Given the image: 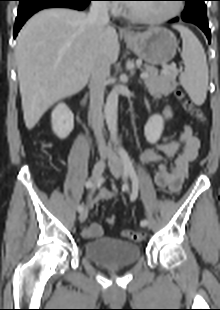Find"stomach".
<instances>
[{
    "label": "stomach",
    "instance_id": "1",
    "mask_svg": "<svg viewBox=\"0 0 220 310\" xmlns=\"http://www.w3.org/2000/svg\"><path fill=\"white\" fill-rule=\"evenodd\" d=\"M125 41L140 59L151 66L171 61L178 48L175 35L162 27H153L143 33L125 36Z\"/></svg>",
    "mask_w": 220,
    "mask_h": 310
}]
</instances>
